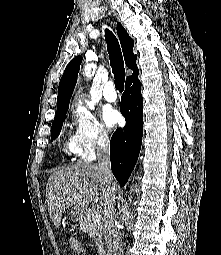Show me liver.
Here are the masks:
<instances>
[{
	"label": "liver",
	"instance_id": "liver-1",
	"mask_svg": "<svg viewBox=\"0 0 221 255\" xmlns=\"http://www.w3.org/2000/svg\"><path fill=\"white\" fill-rule=\"evenodd\" d=\"M116 184L92 163H77L59 168L48 179L46 202L52 222L59 228L64 211L71 207L85 208L92 200L106 207Z\"/></svg>",
	"mask_w": 221,
	"mask_h": 255
}]
</instances>
